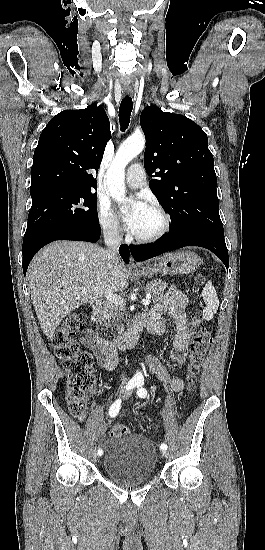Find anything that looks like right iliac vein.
<instances>
[{
  "instance_id": "right-iliac-vein-1",
  "label": "right iliac vein",
  "mask_w": 265,
  "mask_h": 550,
  "mask_svg": "<svg viewBox=\"0 0 265 550\" xmlns=\"http://www.w3.org/2000/svg\"><path fill=\"white\" fill-rule=\"evenodd\" d=\"M92 457H93V459H94V460H96V459H97V457H98V456H97V453H96V451H94V452H93V454H92Z\"/></svg>"
}]
</instances>
